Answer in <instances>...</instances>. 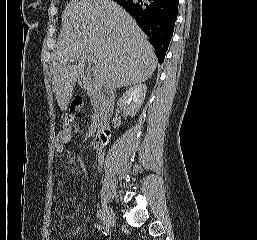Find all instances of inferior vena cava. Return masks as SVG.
Segmentation results:
<instances>
[{
    "instance_id": "602c4592",
    "label": "inferior vena cava",
    "mask_w": 257,
    "mask_h": 240,
    "mask_svg": "<svg viewBox=\"0 0 257 240\" xmlns=\"http://www.w3.org/2000/svg\"><path fill=\"white\" fill-rule=\"evenodd\" d=\"M115 85L113 84H109L108 85V96H109V99H110V102L113 103L114 101V97H115Z\"/></svg>"
}]
</instances>
